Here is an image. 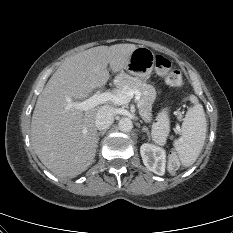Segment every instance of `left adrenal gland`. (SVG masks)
<instances>
[{
  "instance_id": "a2214340",
  "label": "left adrenal gland",
  "mask_w": 233,
  "mask_h": 233,
  "mask_svg": "<svg viewBox=\"0 0 233 233\" xmlns=\"http://www.w3.org/2000/svg\"><path fill=\"white\" fill-rule=\"evenodd\" d=\"M142 131H143V132H146L147 135H148V137H150V132H149V130H148L147 127H143V128H142Z\"/></svg>"
}]
</instances>
